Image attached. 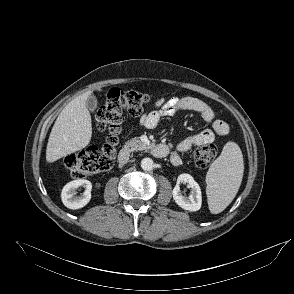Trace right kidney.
Listing matches in <instances>:
<instances>
[{"mask_svg": "<svg viewBox=\"0 0 294 294\" xmlns=\"http://www.w3.org/2000/svg\"><path fill=\"white\" fill-rule=\"evenodd\" d=\"M80 186L85 188L82 196H75L76 189ZM92 184L85 179H77L67 183L61 192L63 204L69 209H79L87 205L91 199Z\"/></svg>", "mask_w": 294, "mask_h": 294, "instance_id": "ca27d5eb", "label": "right kidney"}]
</instances>
